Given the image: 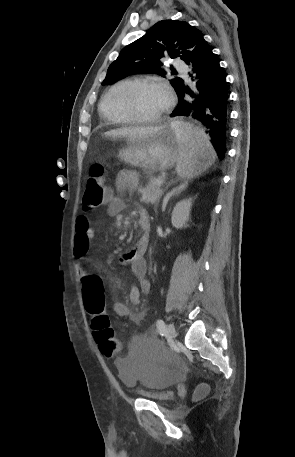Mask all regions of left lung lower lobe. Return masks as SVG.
Listing matches in <instances>:
<instances>
[{
	"label": "left lung lower lobe",
	"instance_id": "0a47b994",
	"mask_svg": "<svg viewBox=\"0 0 295 457\" xmlns=\"http://www.w3.org/2000/svg\"><path fill=\"white\" fill-rule=\"evenodd\" d=\"M190 76L195 81L198 94H194L185 85L177 91L178 105L171 117L192 116L207 128L205 132L212 143L217 156L224 158L228 136V88L226 77L219 60L203 38L194 48L189 60ZM185 94L193 100H184Z\"/></svg>",
	"mask_w": 295,
	"mask_h": 457
}]
</instances>
